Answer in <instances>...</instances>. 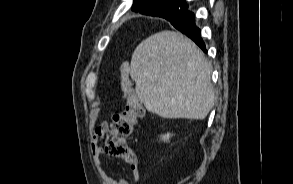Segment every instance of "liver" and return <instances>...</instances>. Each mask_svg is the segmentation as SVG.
<instances>
[{"label":"liver","instance_id":"liver-1","mask_svg":"<svg viewBox=\"0 0 293 184\" xmlns=\"http://www.w3.org/2000/svg\"><path fill=\"white\" fill-rule=\"evenodd\" d=\"M211 72L192 40L168 30L142 41L130 65L138 98L162 118L204 119L214 105Z\"/></svg>","mask_w":293,"mask_h":184}]
</instances>
